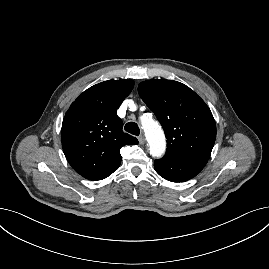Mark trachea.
Listing matches in <instances>:
<instances>
[{
    "label": "trachea",
    "instance_id": "3493384b",
    "mask_svg": "<svg viewBox=\"0 0 269 269\" xmlns=\"http://www.w3.org/2000/svg\"><path fill=\"white\" fill-rule=\"evenodd\" d=\"M124 129L133 135L138 136L140 134V129L138 127V125L135 122H129L125 125Z\"/></svg>",
    "mask_w": 269,
    "mask_h": 269
}]
</instances>
